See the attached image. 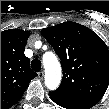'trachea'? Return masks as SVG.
Wrapping results in <instances>:
<instances>
[{
  "label": "trachea",
  "instance_id": "1",
  "mask_svg": "<svg viewBox=\"0 0 109 109\" xmlns=\"http://www.w3.org/2000/svg\"><path fill=\"white\" fill-rule=\"evenodd\" d=\"M31 68L35 71V72H39L41 70V61L38 59H34L31 62Z\"/></svg>",
  "mask_w": 109,
  "mask_h": 109
}]
</instances>
